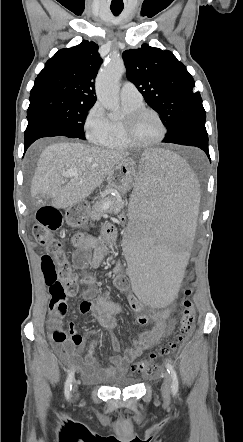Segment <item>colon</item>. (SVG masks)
I'll return each instance as SVG.
<instances>
[{
    "mask_svg": "<svg viewBox=\"0 0 243 442\" xmlns=\"http://www.w3.org/2000/svg\"><path fill=\"white\" fill-rule=\"evenodd\" d=\"M116 220L119 224L126 222V213H117ZM62 225V214L51 205H46L37 213V224L33 228L35 240L46 248L47 253L42 256L41 267L45 283L51 295V307L67 305L70 297L77 294L80 287L86 283L74 273L67 254L62 248L56 232ZM189 278L194 276L192 271L187 273ZM181 315L178 319V329L174 338L157 353L143 358L132 366V371L137 374L151 373L157 368V358L173 354L185 335L189 332L195 320V307L191 298V290L182 291ZM54 341H63L67 335L63 332H55L52 336Z\"/></svg>",
    "mask_w": 243,
    "mask_h": 442,
    "instance_id": "obj_1",
    "label": "colon"
}]
</instances>
